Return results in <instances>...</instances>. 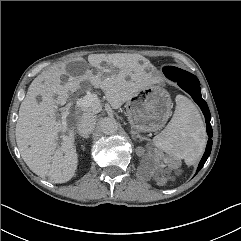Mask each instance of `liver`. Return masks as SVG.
I'll list each match as a JSON object with an SVG mask.
<instances>
[{
	"label": "liver",
	"instance_id": "obj_1",
	"mask_svg": "<svg viewBox=\"0 0 241 241\" xmlns=\"http://www.w3.org/2000/svg\"><path fill=\"white\" fill-rule=\"evenodd\" d=\"M88 62L97 69L96 73L84 67L82 74L70 76L64 84H61L60 77L67 74L66 64L42 72L30 84L19 108L15 135L21 157L35 174L48 176L53 183L69 181L78 165L74 131L67 129L66 119L56 120L57 105L77 91L82 82L89 81L95 88L103 90L113 109H118L152 83V76L147 72L151 64L139 55L92 54L88 56ZM103 62L108 69L101 66ZM37 96L41 97L40 102ZM86 111L97 113L100 110L91 107ZM80 117L76 113L69 121L78 123ZM60 131H68V136L58 142Z\"/></svg>",
	"mask_w": 241,
	"mask_h": 241
}]
</instances>
